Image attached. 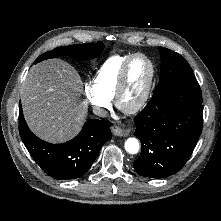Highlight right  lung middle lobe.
Segmentation results:
<instances>
[{
  "mask_svg": "<svg viewBox=\"0 0 221 221\" xmlns=\"http://www.w3.org/2000/svg\"><path fill=\"white\" fill-rule=\"evenodd\" d=\"M103 47L102 42L57 47L40 55L36 59L35 63L62 55L71 56L82 60L96 58L102 52Z\"/></svg>",
  "mask_w": 221,
  "mask_h": 221,
  "instance_id": "right-lung-middle-lobe-1",
  "label": "right lung middle lobe"
}]
</instances>
